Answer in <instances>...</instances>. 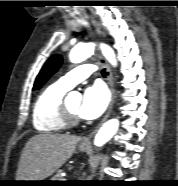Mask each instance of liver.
<instances>
[{
  "instance_id": "liver-1",
  "label": "liver",
  "mask_w": 178,
  "mask_h": 186,
  "mask_svg": "<svg viewBox=\"0 0 178 186\" xmlns=\"http://www.w3.org/2000/svg\"><path fill=\"white\" fill-rule=\"evenodd\" d=\"M79 137L42 133L31 137L21 154L18 181H41L56 172L73 154Z\"/></svg>"
}]
</instances>
